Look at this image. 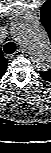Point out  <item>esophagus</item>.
Instances as JSON below:
<instances>
[{
	"label": "esophagus",
	"instance_id": "1",
	"mask_svg": "<svg viewBox=\"0 0 51 153\" xmlns=\"http://www.w3.org/2000/svg\"><path fill=\"white\" fill-rule=\"evenodd\" d=\"M24 55V51L23 50H17L14 54L13 57H17V56H23Z\"/></svg>",
	"mask_w": 51,
	"mask_h": 153
}]
</instances>
